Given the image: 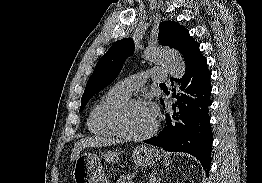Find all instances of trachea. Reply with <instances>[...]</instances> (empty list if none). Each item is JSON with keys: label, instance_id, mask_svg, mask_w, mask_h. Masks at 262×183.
Here are the masks:
<instances>
[{"label": "trachea", "instance_id": "obj_1", "mask_svg": "<svg viewBox=\"0 0 262 183\" xmlns=\"http://www.w3.org/2000/svg\"><path fill=\"white\" fill-rule=\"evenodd\" d=\"M160 85H161V86H164L165 84H164V83H161Z\"/></svg>", "mask_w": 262, "mask_h": 183}]
</instances>
